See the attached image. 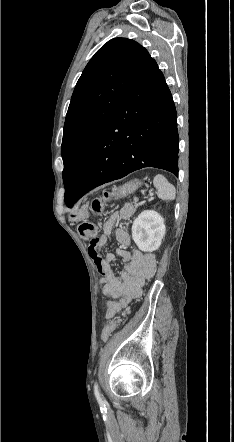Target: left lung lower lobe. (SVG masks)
<instances>
[{"label": "left lung lower lobe", "instance_id": "0a47b994", "mask_svg": "<svg viewBox=\"0 0 234 442\" xmlns=\"http://www.w3.org/2000/svg\"><path fill=\"white\" fill-rule=\"evenodd\" d=\"M174 102L157 63L151 59L99 133L74 195L84 194L144 167L178 176V132Z\"/></svg>", "mask_w": 234, "mask_h": 442}]
</instances>
